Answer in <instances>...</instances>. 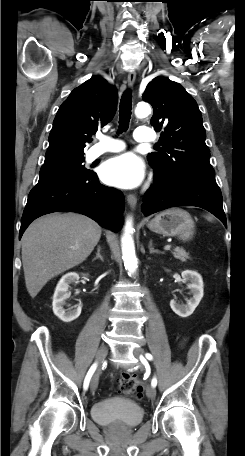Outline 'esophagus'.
<instances>
[{
  "label": "esophagus",
  "mask_w": 245,
  "mask_h": 456,
  "mask_svg": "<svg viewBox=\"0 0 245 456\" xmlns=\"http://www.w3.org/2000/svg\"><path fill=\"white\" fill-rule=\"evenodd\" d=\"M136 80V73L135 71H130L127 76V83L128 86L132 87ZM127 202L132 209H134L137 205V197L134 194L127 195Z\"/></svg>",
  "instance_id": "esophagus-1"
}]
</instances>
